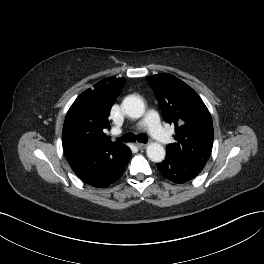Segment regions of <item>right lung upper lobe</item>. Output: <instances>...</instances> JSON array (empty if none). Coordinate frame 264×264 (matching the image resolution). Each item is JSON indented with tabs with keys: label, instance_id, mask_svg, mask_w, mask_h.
<instances>
[{
	"label": "right lung upper lobe",
	"instance_id": "1",
	"mask_svg": "<svg viewBox=\"0 0 264 264\" xmlns=\"http://www.w3.org/2000/svg\"><path fill=\"white\" fill-rule=\"evenodd\" d=\"M124 78H105L84 91L67 112L62 144L68 160L101 153L117 154L126 146L111 142L104 131L110 129L111 107L120 95Z\"/></svg>",
	"mask_w": 264,
	"mask_h": 264
}]
</instances>
